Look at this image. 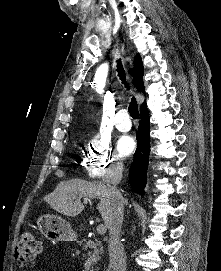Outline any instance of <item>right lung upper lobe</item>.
Listing matches in <instances>:
<instances>
[{"label":"right lung upper lobe","instance_id":"right-lung-upper-lobe-1","mask_svg":"<svg viewBox=\"0 0 221 271\" xmlns=\"http://www.w3.org/2000/svg\"><path fill=\"white\" fill-rule=\"evenodd\" d=\"M133 78V84L138 89V91H142L143 87V74H144V68L142 64V60L139 54L136 55L134 60V68L130 71ZM146 107V102H144L141 106L142 108Z\"/></svg>","mask_w":221,"mask_h":271}]
</instances>
